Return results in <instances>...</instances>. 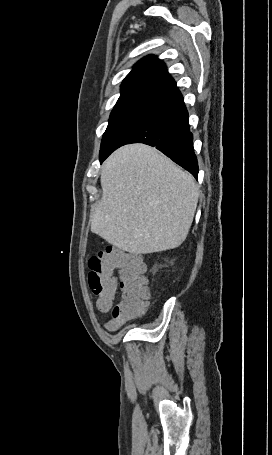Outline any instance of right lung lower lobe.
I'll return each instance as SVG.
<instances>
[{
	"mask_svg": "<svg viewBox=\"0 0 272 455\" xmlns=\"http://www.w3.org/2000/svg\"><path fill=\"white\" fill-rule=\"evenodd\" d=\"M188 124V111L180 96L128 130L100 157V162L122 145L144 143L159 149L197 179L198 162Z\"/></svg>",
	"mask_w": 272,
	"mask_h": 455,
	"instance_id": "98d812e1",
	"label": "right lung lower lobe"
}]
</instances>
